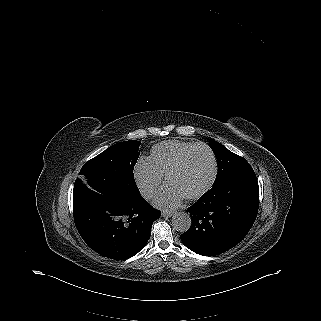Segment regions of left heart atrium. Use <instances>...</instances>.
<instances>
[{
    "label": "left heart atrium",
    "mask_w": 321,
    "mask_h": 321,
    "mask_svg": "<svg viewBox=\"0 0 321 321\" xmlns=\"http://www.w3.org/2000/svg\"><path fill=\"white\" fill-rule=\"evenodd\" d=\"M164 188L156 197L154 203L161 209H174L180 206L183 201L184 194L177 190L174 186Z\"/></svg>",
    "instance_id": "39dd6f15"
}]
</instances>
